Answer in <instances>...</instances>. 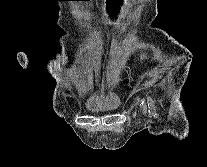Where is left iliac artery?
I'll return each mask as SVG.
<instances>
[{"label":"left iliac artery","instance_id":"left-iliac-artery-1","mask_svg":"<svg viewBox=\"0 0 207 167\" xmlns=\"http://www.w3.org/2000/svg\"><path fill=\"white\" fill-rule=\"evenodd\" d=\"M147 102H148L149 114L153 116L154 118H157L158 115L156 112L155 103L150 96L147 97Z\"/></svg>","mask_w":207,"mask_h":167}]
</instances>
